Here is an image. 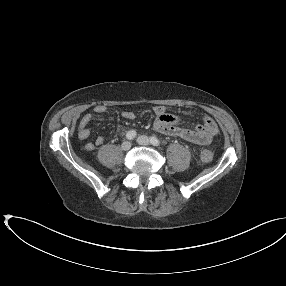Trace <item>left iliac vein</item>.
<instances>
[{
    "mask_svg": "<svg viewBox=\"0 0 286 286\" xmlns=\"http://www.w3.org/2000/svg\"><path fill=\"white\" fill-rule=\"evenodd\" d=\"M137 142L140 144V145H144V146H147L150 144V139L147 137V136H139L137 138Z\"/></svg>",
    "mask_w": 286,
    "mask_h": 286,
    "instance_id": "1",
    "label": "left iliac vein"
}]
</instances>
